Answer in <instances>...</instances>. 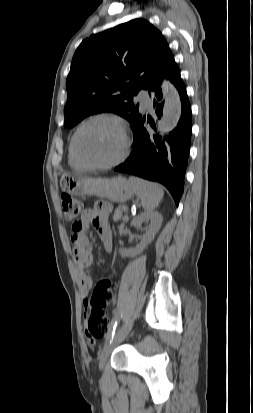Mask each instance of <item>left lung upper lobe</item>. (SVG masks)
<instances>
[{
	"label": "left lung upper lobe",
	"mask_w": 253,
	"mask_h": 413,
	"mask_svg": "<svg viewBox=\"0 0 253 413\" xmlns=\"http://www.w3.org/2000/svg\"><path fill=\"white\" fill-rule=\"evenodd\" d=\"M172 57L161 32L144 19L86 38L66 81L65 126L101 112L119 114L133 125L140 116L133 97L158 80Z\"/></svg>",
	"instance_id": "left-lung-upper-lobe-1"
}]
</instances>
